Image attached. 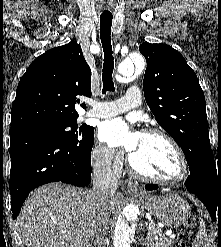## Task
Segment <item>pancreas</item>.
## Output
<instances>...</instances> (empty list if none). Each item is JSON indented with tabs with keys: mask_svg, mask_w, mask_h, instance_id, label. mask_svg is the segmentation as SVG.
<instances>
[{
	"mask_svg": "<svg viewBox=\"0 0 221 247\" xmlns=\"http://www.w3.org/2000/svg\"><path fill=\"white\" fill-rule=\"evenodd\" d=\"M173 240L166 237L155 223H151L145 244L148 247H171Z\"/></svg>",
	"mask_w": 221,
	"mask_h": 247,
	"instance_id": "obj_1",
	"label": "pancreas"
}]
</instances>
